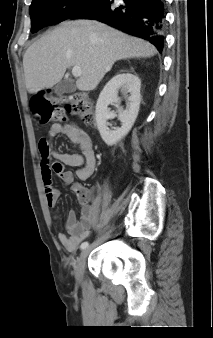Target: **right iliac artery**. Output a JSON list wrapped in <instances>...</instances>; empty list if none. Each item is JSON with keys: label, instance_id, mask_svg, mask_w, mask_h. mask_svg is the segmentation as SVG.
<instances>
[{"label": "right iliac artery", "instance_id": "82829eb1", "mask_svg": "<svg viewBox=\"0 0 213 338\" xmlns=\"http://www.w3.org/2000/svg\"><path fill=\"white\" fill-rule=\"evenodd\" d=\"M88 245H89V243H88L87 241L83 242V243L81 244V250L86 249V248L88 247Z\"/></svg>", "mask_w": 213, "mask_h": 338}]
</instances>
